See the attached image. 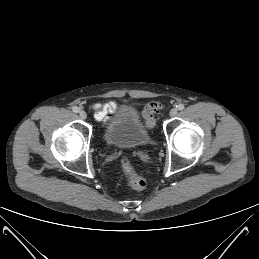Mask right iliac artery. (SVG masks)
Returning <instances> with one entry per match:
<instances>
[{
    "label": "right iliac artery",
    "instance_id": "right-iliac-artery-1",
    "mask_svg": "<svg viewBox=\"0 0 259 259\" xmlns=\"http://www.w3.org/2000/svg\"><path fill=\"white\" fill-rule=\"evenodd\" d=\"M72 111L75 113L79 112V108L77 106L72 107Z\"/></svg>",
    "mask_w": 259,
    "mask_h": 259
}]
</instances>
